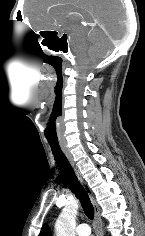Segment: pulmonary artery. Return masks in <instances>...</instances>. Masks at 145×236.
I'll list each match as a JSON object with an SVG mask.
<instances>
[{
	"mask_svg": "<svg viewBox=\"0 0 145 236\" xmlns=\"http://www.w3.org/2000/svg\"><path fill=\"white\" fill-rule=\"evenodd\" d=\"M76 233L78 236H89L90 234V227L86 223H81L76 228Z\"/></svg>",
	"mask_w": 145,
	"mask_h": 236,
	"instance_id": "obj_1",
	"label": "pulmonary artery"
}]
</instances>
